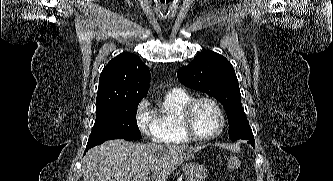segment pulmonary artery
Instances as JSON below:
<instances>
[{
    "instance_id": "1",
    "label": "pulmonary artery",
    "mask_w": 333,
    "mask_h": 181,
    "mask_svg": "<svg viewBox=\"0 0 333 181\" xmlns=\"http://www.w3.org/2000/svg\"><path fill=\"white\" fill-rule=\"evenodd\" d=\"M174 91H182L181 89H175Z\"/></svg>"
}]
</instances>
